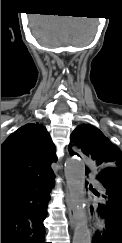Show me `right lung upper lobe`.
Segmentation results:
<instances>
[{
    "mask_svg": "<svg viewBox=\"0 0 122 243\" xmlns=\"http://www.w3.org/2000/svg\"><path fill=\"white\" fill-rule=\"evenodd\" d=\"M56 160L46 128L39 123L22 126L1 146V194L53 173L51 164Z\"/></svg>",
    "mask_w": 122,
    "mask_h": 243,
    "instance_id": "1",
    "label": "right lung upper lobe"
}]
</instances>
